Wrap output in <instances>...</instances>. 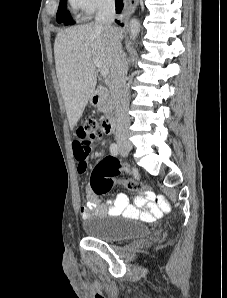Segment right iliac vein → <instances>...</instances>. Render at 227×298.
Listing matches in <instances>:
<instances>
[{"label":"right iliac vein","instance_id":"obj_1","mask_svg":"<svg viewBox=\"0 0 227 298\" xmlns=\"http://www.w3.org/2000/svg\"><path fill=\"white\" fill-rule=\"evenodd\" d=\"M121 147L126 151H130L132 149V146L130 144H122Z\"/></svg>","mask_w":227,"mask_h":298}]
</instances>
